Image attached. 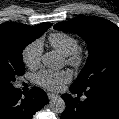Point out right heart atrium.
Returning a JSON list of instances; mask_svg holds the SVG:
<instances>
[{
  "mask_svg": "<svg viewBox=\"0 0 119 119\" xmlns=\"http://www.w3.org/2000/svg\"><path fill=\"white\" fill-rule=\"evenodd\" d=\"M43 46L40 39H36L27 44L22 50V61L30 69H35L40 65Z\"/></svg>",
  "mask_w": 119,
  "mask_h": 119,
  "instance_id": "right-heart-atrium-1",
  "label": "right heart atrium"
}]
</instances>
